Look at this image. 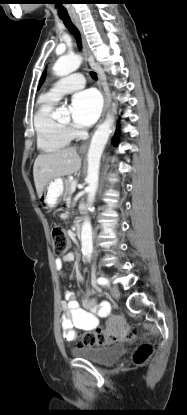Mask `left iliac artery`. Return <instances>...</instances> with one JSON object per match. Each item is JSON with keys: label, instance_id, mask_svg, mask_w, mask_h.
Segmentation results:
<instances>
[{"label": "left iliac artery", "instance_id": "obj_1", "mask_svg": "<svg viewBox=\"0 0 187 415\" xmlns=\"http://www.w3.org/2000/svg\"><path fill=\"white\" fill-rule=\"evenodd\" d=\"M97 282L100 285L109 286V281L105 277H99Z\"/></svg>", "mask_w": 187, "mask_h": 415}]
</instances>
